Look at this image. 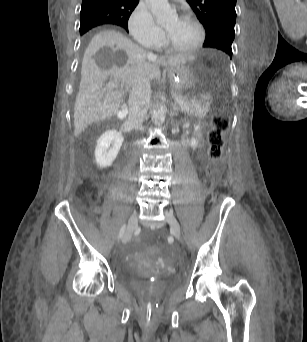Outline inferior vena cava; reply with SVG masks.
I'll use <instances>...</instances> for the list:
<instances>
[{
	"mask_svg": "<svg viewBox=\"0 0 307 342\" xmlns=\"http://www.w3.org/2000/svg\"><path fill=\"white\" fill-rule=\"evenodd\" d=\"M151 100V86L149 80L140 78L135 82L129 94V112L126 126L142 128L146 118L147 108Z\"/></svg>",
	"mask_w": 307,
	"mask_h": 342,
	"instance_id": "obj_1",
	"label": "inferior vena cava"
}]
</instances>
